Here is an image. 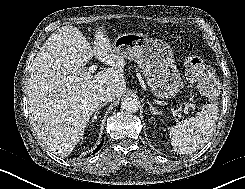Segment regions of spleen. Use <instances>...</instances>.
Masks as SVG:
<instances>
[{
    "instance_id": "obj_1",
    "label": "spleen",
    "mask_w": 245,
    "mask_h": 189,
    "mask_svg": "<svg viewBox=\"0 0 245 189\" xmlns=\"http://www.w3.org/2000/svg\"><path fill=\"white\" fill-rule=\"evenodd\" d=\"M219 117L216 104H207L189 120H184L170 128L171 143L179 154H191L210 139Z\"/></svg>"
}]
</instances>
